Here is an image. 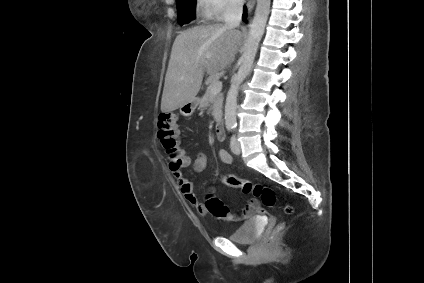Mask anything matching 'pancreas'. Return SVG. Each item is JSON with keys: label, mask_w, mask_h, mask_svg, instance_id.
<instances>
[{"label": "pancreas", "mask_w": 424, "mask_h": 283, "mask_svg": "<svg viewBox=\"0 0 424 283\" xmlns=\"http://www.w3.org/2000/svg\"><path fill=\"white\" fill-rule=\"evenodd\" d=\"M219 77V74L212 75L208 78L207 84V90L203 97L200 100V108H206L211 106L212 115L214 116L215 121H219L222 114V105H223V94L218 93L216 95H213L210 90V86L214 81H216Z\"/></svg>", "instance_id": "1"}]
</instances>
